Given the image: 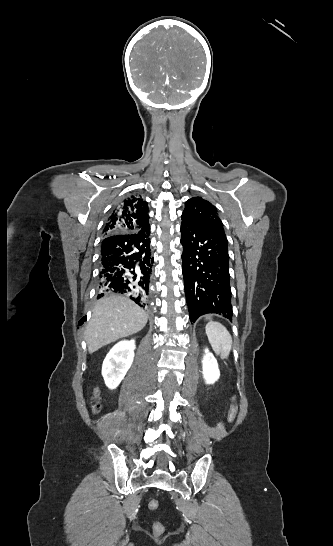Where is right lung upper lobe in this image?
<instances>
[{
    "instance_id": "right-lung-upper-lobe-1",
    "label": "right lung upper lobe",
    "mask_w": 333,
    "mask_h": 546,
    "mask_svg": "<svg viewBox=\"0 0 333 546\" xmlns=\"http://www.w3.org/2000/svg\"><path fill=\"white\" fill-rule=\"evenodd\" d=\"M148 206L140 197L123 200L110 214L103 235L132 232L149 226Z\"/></svg>"
}]
</instances>
